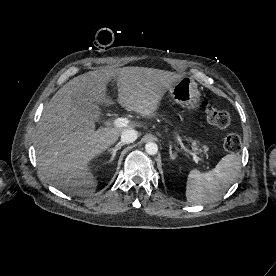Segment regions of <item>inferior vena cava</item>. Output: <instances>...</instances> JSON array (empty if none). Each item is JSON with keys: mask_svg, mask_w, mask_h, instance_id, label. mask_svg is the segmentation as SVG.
I'll use <instances>...</instances> for the list:
<instances>
[{"mask_svg": "<svg viewBox=\"0 0 276 276\" xmlns=\"http://www.w3.org/2000/svg\"><path fill=\"white\" fill-rule=\"evenodd\" d=\"M138 137L137 131L134 129H126L121 133V142L133 143Z\"/></svg>", "mask_w": 276, "mask_h": 276, "instance_id": "602c4592", "label": "inferior vena cava"}]
</instances>
